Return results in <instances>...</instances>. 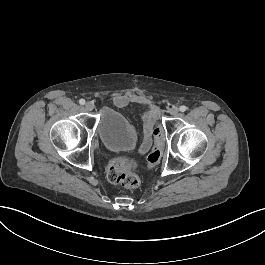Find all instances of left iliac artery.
I'll use <instances>...</instances> for the list:
<instances>
[{
    "label": "left iliac artery",
    "mask_w": 265,
    "mask_h": 265,
    "mask_svg": "<svg viewBox=\"0 0 265 265\" xmlns=\"http://www.w3.org/2000/svg\"><path fill=\"white\" fill-rule=\"evenodd\" d=\"M186 109H187V107L184 106V105L180 106V108H179V110H180L181 112H185Z\"/></svg>",
    "instance_id": "obj_1"
}]
</instances>
